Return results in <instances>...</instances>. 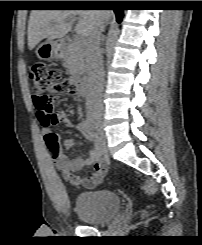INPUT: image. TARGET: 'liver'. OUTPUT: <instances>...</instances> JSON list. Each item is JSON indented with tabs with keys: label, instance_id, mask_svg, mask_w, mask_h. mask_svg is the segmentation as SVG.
I'll return each mask as SVG.
<instances>
[{
	"label": "liver",
	"instance_id": "6515ba94",
	"mask_svg": "<svg viewBox=\"0 0 202 245\" xmlns=\"http://www.w3.org/2000/svg\"><path fill=\"white\" fill-rule=\"evenodd\" d=\"M79 16L76 33L89 37L99 23L107 22L110 12L93 10H32L28 22V47L32 50L43 39L53 41L64 37Z\"/></svg>",
	"mask_w": 202,
	"mask_h": 245
}]
</instances>
